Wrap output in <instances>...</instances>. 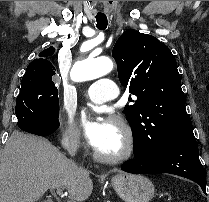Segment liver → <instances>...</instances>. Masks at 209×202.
I'll use <instances>...</instances> for the list:
<instances>
[{"label":"liver","mask_w":209,"mask_h":202,"mask_svg":"<svg viewBox=\"0 0 209 202\" xmlns=\"http://www.w3.org/2000/svg\"><path fill=\"white\" fill-rule=\"evenodd\" d=\"M89 174L47 139L14 131L0 160V202H36L57 187L85 201L93 190Z\"/></svg>","instance_id":"1"}]
</instances>
